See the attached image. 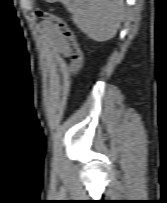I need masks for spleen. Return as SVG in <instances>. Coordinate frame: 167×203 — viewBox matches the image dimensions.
I'll use <instances>...</instances> for the list:
<instances>
[{
    "label": "spleen",
    "instance_id": "3e777b00",
    "mask_svg": "<svg viewBox=\"0 0 167 203\" xmlns=\"http://www.w3.org/2000/svg\"><path fill=\"white\" fill-rule=\"evenodd\" d=\"M60 1L72 14L75 25L96 41L112 39L123 20V0H46Z\"/></svg>",
    "mask_w": 167,
    "mask_h": 203
}]
</instances>
